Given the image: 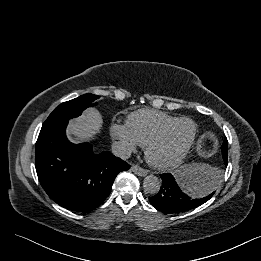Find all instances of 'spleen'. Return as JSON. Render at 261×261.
Masks as SVG:
<instances>
[{"instance_id":"1","label":"spleen","mask_w":261,"mask_h":261,"mask_svg":"<svg viewBox=\"0 0 261 261\" xmlns=\"http://www.w3.org/2000/svg\"><path fill=\"white\" fill-rule=\"evenodd\" d=\"M187 172H188L189 177H199L202 175H207V174L213 173V172H215V170L212 167H210L208 164L195 163V164H191L188 166ZM218 183H219V179L217 180L215 186L213 187V190L216 188ZM208 192H205V194ZM199 195L202 196L204 194H199Z\"/></svg>"}]
</instances>
